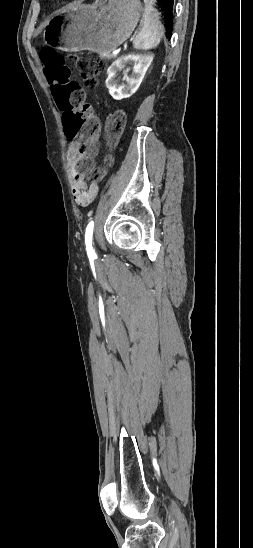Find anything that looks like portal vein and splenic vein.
<instances>
[{
	"label": "portal vein and splenic vein",
	"instance_id": "18ae733b",
	"mask_svg": "<svg viewBox=\"0 0 253 548\" xmlns=\"http://www.w3.org/2000/svg\"><path fill=\"white\" fill-rule=\"evenodd\" d=\"M113 55H117V51L113 52Z\"/></svg>",
	"mask_w": 253,
	"mask_h": 548
}]
</instances>
